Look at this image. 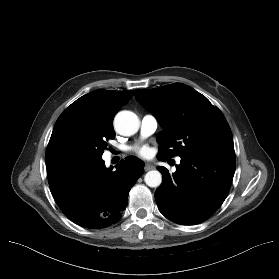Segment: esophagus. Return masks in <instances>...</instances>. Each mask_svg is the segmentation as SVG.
Instances as JSON below:
<instances>
[{"label": "esophagus", "mask_w": 279, "mask_h": 279, "mask_svg": "<svg viewBox=\"0 0 279 279\" xmlns=\"http://www.w3.org/2000/svg\"><path fill=\"white\" fill-rule=\"evenodd\" d=\"M154 169V166L149 164V163H146L145 166H144V170L145 171H149V170H152Z\"/></svg>", "instance_id": "obj_1"}]
</instances>
